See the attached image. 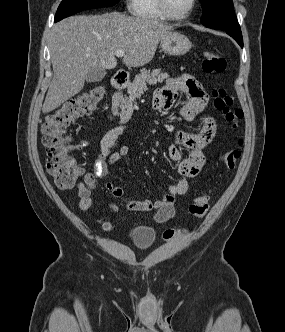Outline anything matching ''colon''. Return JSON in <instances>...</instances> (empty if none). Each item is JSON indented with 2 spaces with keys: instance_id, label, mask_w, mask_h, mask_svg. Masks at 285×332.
Listing matches in <instances>:
<instances>
[{
  "instance_id": "colon-1",
  "label": "colon",
  "mask_w": 285,
  "mask_h": 332,
  "mask_svg": "<svg viewBox=\"0 0 285 332\" xmlns=\"http://www.w3.org/2000/svg\"><path fill=\"white\" fill-rule=\"evenodd\" d=\"M226 68V61L220 55L211 51L204 52L202 69L206 74H219ZM105 86L95 85L85 92L64 102L55 111L49 114L41 126L42 144L44 145L48 160L46 168L53 177L57 187L69 189L82 177L84 170L72 155L78 147L72 143L68 133L69 127L78 118L93 112L105 95ZM214 107L219 110L225 120L233 127L241 123L243 112L234 105L232 97L223 89L216 88L212 92ZM225 151L221 155V162L227 169H234L241 157L240 145ZM209 209V195L201 191L194 198L189 212L196 218H203ZM186 230L168 229L163 233L167 241L180 238Z\"/></svg>"
}]
</instances>
